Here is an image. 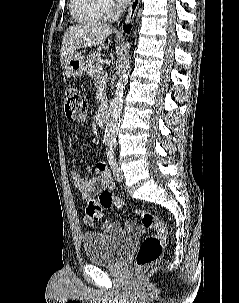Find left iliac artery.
I'll list each match as a JSON object with an SVG mask.
<instances>
[{
    "instance_id": "obj_1",
    "label": "left iliac artery",
    "mask_w": 239,
    "mask_h": 303,
    "mask_svg": "<svg viewBox=\"0 0 239 303\" xmlns=\"http://www.w3.org/2000/svg\"><path fill=\"white\" fill-rule=\"evenodd\" d=\"M112 147H113V144H110V147L107 152V158H108V162H109V165L111 166L112 170H115L117 163H116V159H115V155H114V150Z\"/></svg>"
}]
</instances>
